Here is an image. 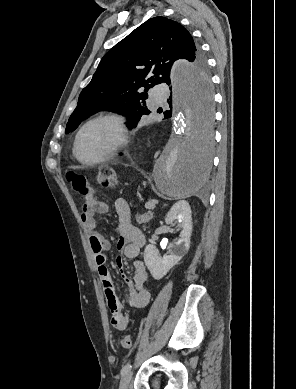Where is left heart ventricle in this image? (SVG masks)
Here are the masks:
<instances>
[{
    "label": "left heart ventricle",
    "instance_id": "b2bd125f",
    "mask_svg": "<svg viewBox=\"0 0 296 389\" xmlns=\"http://www.w3.org/2000/svg\"><path fill=\"white\" fill-rule=\"evenodd\" d=\"M116 137V129L111 122L94 123L81 135L78 154L85 160L97 159L113 144Z\"/></svg>",
    "mask_w": 296,
    "mask_h": 389
}]
</instances>
